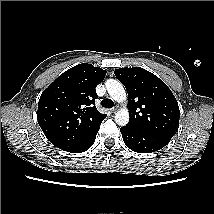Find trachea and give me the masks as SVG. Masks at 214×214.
Instances as JSON below:
<instances>
[{
    "instance_id": "3493384b",
    "label": "trachea",
    "mask_w": 214,
    "mask_h": 214,
    "mask_svg": "<svg viewBox=\"0 0 214 214\" xmlns=\"http://www.w3.org/2000/svg\"><path fill=\"white\" fill-rule=\"evenodd\" d=\"M101 105L106 108H112L114 106V102L111 99H103Z\"/></svg>"
}]
</instances>
